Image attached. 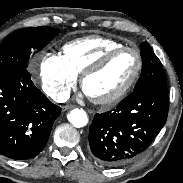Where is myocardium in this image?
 Returning a JSON list of instances; mask_svg holds the SVG:
<instances>
[{"label":"myocardium","mask_w":183,"mask_h":183,"mask_svg":"<svg viewBox=\"0 0 183 183\" xmlns=\"http://www.w3.org/2000/svg\"><path fill=\"white\" fill-rule=\"evenodd\" d=\"M123 51H131L135 54V56L137 58V66H136V69H135L131 79L122 89H120L115 94H113L109 97H106V98H95V97L89 96L85 93L93 103L99 104V105H105V106L114 105V104L118 103L120 100H122L129 93V91L132 89V87L137 82V80L141 74L142 68H143L142 55L137 48L122 45V46L115 47V48L109 50L104 55H102L95 63H93L87 69H85L83 71V73L81 74V78H80L81 88L84 91V84H85V81L87 80V78H89L91 75L103 70L109 64V62L114 58V56H116L117 54H119L120 52H123Z\"/></svg>","instance_id":"1"}]
</instances>
